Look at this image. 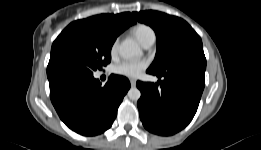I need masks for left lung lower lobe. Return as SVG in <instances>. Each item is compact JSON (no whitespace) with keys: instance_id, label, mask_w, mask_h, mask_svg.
Masks as SVG:
<instances>
[{"instance_id":"1","label":"left lung lower lobe","mask_w":261,"mask_h":150,"mask_svg":"<svg viewBox=\"0 0 261 150\" xmlns=\"http://www.w3.org/2000/svg\"><path fill=\"white\" fill-rule=\"evenodd\" d=\"M206 58L185 55L166 70L147 73L163 77L157 83L137 82L141 91L138 100L144 127L157 135H173L185 128L194 117L205 86Z\"/></svg>"}]
</instances>
